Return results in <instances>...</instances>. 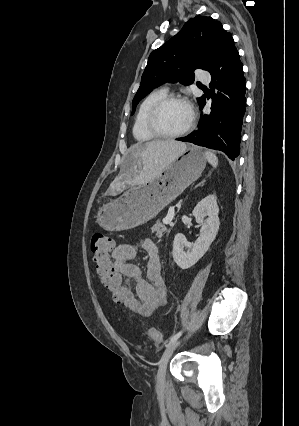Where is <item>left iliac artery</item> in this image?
<instances>
[{"label": "left iliac artery", "mask_w": 299, "mask_h": 426, "mask_svg": "<svg viewBox=\"0 0 299 426\" xmlns=\"http://www.w3.org/2000/svg\"><path fill=\"white\" fill-rule=\"evenodd\" d=\"M181 335H182V331H179L178 333H176L175 335H173L169 339V342L166 344V346H169L171 343H173L174 341H176Z\"/></svg>", "instance_id": "left-iliac-artery-1"}]
</instances>
